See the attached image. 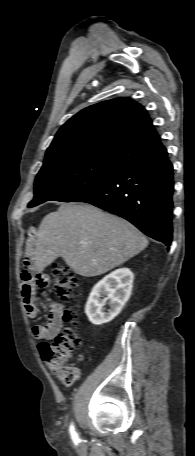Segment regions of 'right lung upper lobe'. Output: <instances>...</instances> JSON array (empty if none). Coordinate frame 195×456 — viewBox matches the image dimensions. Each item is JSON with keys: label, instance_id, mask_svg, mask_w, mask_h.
I'll return each mask as SVG.
<instances>
[{"label": "right lung upper lobe", "instance_id": "obj_1", "mask_svg": "<svg viewBox=\"0 0 195 456\" xmlns=\"http://www.w3.org/2000/svg\"><path fill=\"white\" fill-rule=\"evenodd\" d=\"M163 148L147 111L128 98L81 110L57 132L44 163L96 159L124 165Z\"/></svg>", "mask_w": 195, "mask_h": 456}]
</instances>
